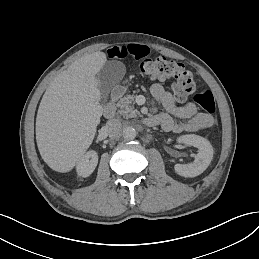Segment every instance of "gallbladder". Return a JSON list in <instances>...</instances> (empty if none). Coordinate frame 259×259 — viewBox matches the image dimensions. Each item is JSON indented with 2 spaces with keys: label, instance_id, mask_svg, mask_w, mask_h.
<instances>
[{
  "label": "gallbladder",
  "instance_id": "bac80fb5",
  "mask_svg": "<svg viewBox=\"0 0 259 259\" xmlns=\"http://www.w3.org/2000/svg\"><path fill=\"white\" fill-rule=\"evenodd\" d=\"M125 75V68L122 62L117 60L108 61L97 73L95 79L98 83V89L101 93V99L105 104L108 94L112 88L118 84Z\"/></svg>",
  "mask_w": 259,
  "mask_h": 259
}]
</instances>
